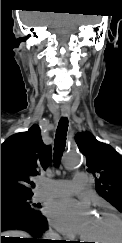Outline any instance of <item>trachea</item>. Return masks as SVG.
<instances>
[{
	"label": "trachea",
	"instance_id": "trachea-1",
	"mask_svg": "<svg viewBox=\"0 0 122 243\" xmlns=\"http://www.w3.org/2000/svg\"><path fill=\"white\" fill-rule=\"evenodd\" d=\"M68 130V120L67 118H61L55 135V144H54V164L56 167L60 164L61 156L64 152L66 145V136Z\"/></svg>",
	"mask_w": 122,
	"mask_h": 243
}]
</instances>
